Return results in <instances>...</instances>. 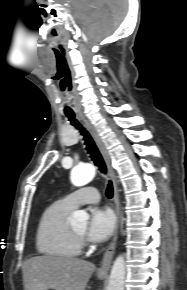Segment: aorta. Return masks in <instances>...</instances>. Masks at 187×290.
<instances>
[{"mask_svg":"<svg viewBox=\"0 0 187 290\" xmlns=\"http://www.w3.org/2000/svg\"><path fill=\"white\" fill-rule=\"evenodd\" d=\"M95 175V167L91 164L76 166L71 172V182L74 186L81 187L91 182ZM88 219L89 215L85 211H75L70 222L72 226H85ZM125 274V259L120 255L111 268L107 290H124Z\"/></svg>","mask_w":187,"mask_h":290,"instance_id":"1","label":"aorta"}]
</instances>
